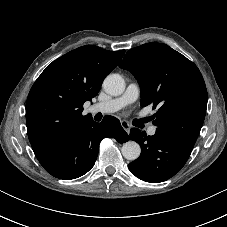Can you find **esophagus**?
Returning <instances> with one entry per match:
<instances>
[{
  "label": "esophagus",
  "instance_id": "34e87169",
  "mask_svg": "<svg viewBox=\"0 0 227 227\" xmlns=\"http://www.w3.org/2000/svg\"><path fill=\"white\" fill-rule=\"evenodd\" d=\"M121 126L123 127V129H124L128 134L130 133L131 127H130V125H129V123H128L127 121L122 120V121H121Z\"/></svg>",
  "mask_w": 227,
  "mask_h": 227
}]
</instances>
